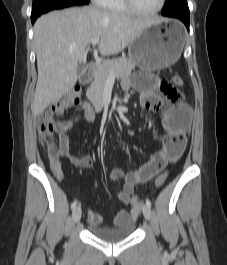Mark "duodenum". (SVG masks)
Segmentation results:
<instances>
[{
  "mask_svg": "<svg viewBox=\"0 0 227 265\" xmlns=\"http://www.w3.org/2000/svg\"><path fill=\"white\" fill-rule=\"evenodd\" d=\"M92 72H93V67L92 66H87L83 73L81 74V77H80V81L82 83H88L91 79V76H92ZM83 107L88 111V112H93L94 109L93 107L91 106V104L87 101V100H84L83 101Z\"/></svg>",
  "mask_w": 227,
  "mask_h": 265,
  "instance_id": "duodenum-1",
  "label": "duodenum"
}]
</instances>
